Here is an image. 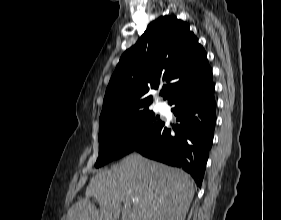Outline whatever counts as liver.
<instances>
[{
	"label": "liver",
	"instance_id": "6515ba94",
	"mask_svg": "<svg viewBox=\"0 0 281 220\" xmlns=\"http://www.w3.org/2000/svg\"><path fill=\"white\" fill-rule=\"evenodd\" d=\"M193 196V182L183 170L133 153L92 177L67 220H118L120 215L121 220H185Z\"/></svg>",
	"mask_w": 281,
	"mask_h": 220
}]
</instances>
